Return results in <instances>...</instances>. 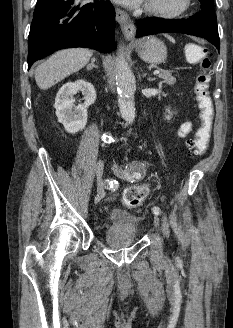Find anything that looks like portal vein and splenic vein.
<instances>
[{
    "label": "portal vein and splenic vein",
    "instance_id": "1",
    "mask_svg": "<svg viewBox=\"0 0 233 328\" xmlns=\"http://www.w3.org/2000/svg\"><path fill=\"white\" fill-rule=\"evenodd\" d=\"M160 73H161L160 70H156V71L153 72L154 75H159Z\"/></svg>",
    "mask_w": 233,
    "mask_h": 328
}]
</instances>
